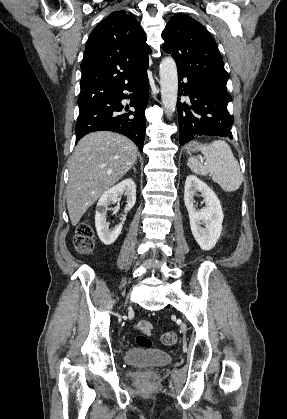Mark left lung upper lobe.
I'll return each instance as SVG.
<instances>
[{
    "mask_svg": "<svg viewBox=\"0 0 287 419\" xmlns=\"http://www.w3.org/2000/svg\"><path fill=\"white\" fill-rule=\"evenodd\" d=\"M163 50L173 56L178 75L226 87L229 78L215 40L196 20L178 14L167 23Z\"/></svg>",
    "mask_w": 287,
    "mask_h": 419,
    "instance_id": "obj_1",
    "label": "left lung upper lobe"
}]
</instances>
